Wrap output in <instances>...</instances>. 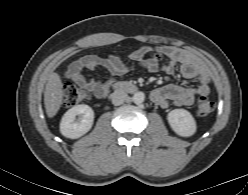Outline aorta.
<instances>
[{"mask_svg": "<svg viewBox=\"0 0 248 195\" xmlns=\"http://www.w3.org/2000/svg\"><path fill=\"white\" fill-rule=\"evenodd\" d=\"M145 99V94L141 91L136 92L133 97L132 100L135 104H141Z\"/></svg>", "mask_w": 248, "mask_h": 195, "instance_id": "obj_1", "label": "aorta"}]
</instances>
